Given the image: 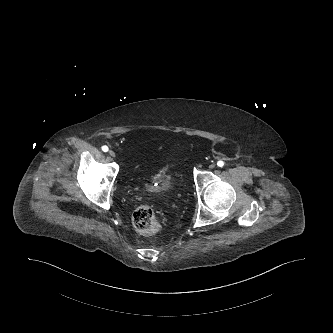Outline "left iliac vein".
Returning <instances> with one entry per match:
<instances>
[{"label": "left iliac vein", "mask_w": 333, "mask_h": 333, "mask_svg": "<svg viewBox=\"0 0 333 333\" xmlns=\"http://www.w3.org/2000/svg\"><path fill=\"white\" fill-rule=\"evenodd\" d=\"M214 167H215V164H210V165H209V168H210V169H213Z\"/></svg>", "instance_id": "4c4485c4"}]
</instances>
